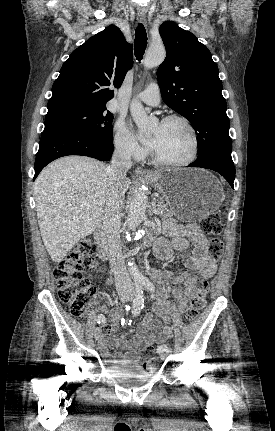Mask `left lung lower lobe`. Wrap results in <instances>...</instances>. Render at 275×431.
Wrapping results in <instances>:
<instances>
[{
  "label": "left lung lower lobe",
  "mask_w": 275,
  "mask_h": 431,
  "mask_svg": "<svg viewBox=\"0 0 275 431\" xmlns=\"http://www.w3.org/2000/svg\"><path fill=\"white\" fill-rule=\"evenodd\" d=\"M188 167H201L214 170L221 174L231 187L234 188L235 167L230 153L216 154L203 159H197L194 163L188 165Z\"/></svg>",
  "instance_id": "0a47b994"
}]
</instances>
